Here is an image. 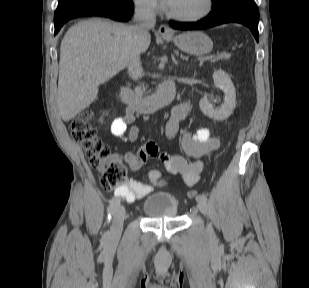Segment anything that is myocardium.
Instances as JSON below:
<instances>
[{"label":"myocardium","instance_id":"1","mask_svg":"<svg viewBox=\"0 0 309 288\" xmlns=\"http://www.w3.org/2000/svg\"><path fill=\"white\" fill-rule=\"evenodd\" d=\"M205 3H206L205 9L196 15L178 14V13L171 11L169 8H167V14L171 18L179 20V21H184V22L200 21L206 18L212 12V9L214 6V0H206Z\"/></svg>","mask_w":309,"mask_h":288}]
</instances>
